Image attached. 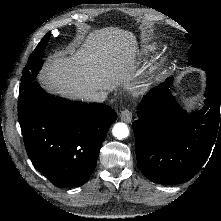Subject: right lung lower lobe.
I'll list each match as a JSON object with an SVG mask.
<instances>
[{"label": "right lung lower lobe", "instance_id": "right-lung-lower-lobe-1", "mask_svg": "<svg viewBox=\"0 0 221 221\" xmlns=\"http://www.w3.org/2000/svg\"><path fill=\"white\" fill-rule=\"evenodd\" d=\"M117 117L109 106L47 94L37 82L21 91L18 118L34 167L59 188L85 184Z\"/></svg>", "mask_w": 221, "mask_h": 221}]
</instances>
